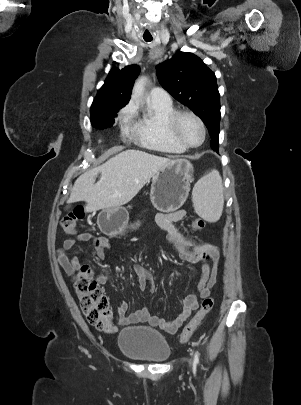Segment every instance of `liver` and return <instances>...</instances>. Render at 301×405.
Segmentation results:
<instances>
[{"label":"liver","instance_id":"liver-1","mask_svg":"<svg viewBox=\"0 0 301 405\" xmlns=\"http://www.w3.org/2000/svg\"><path fill=\"white\" fill-rule=\"evenodd\" d=\"M168 158L140 150H126L88 170L74 183L69 202L85 201L86 212L120 208L167 164ZM100 180L95 183L96 176Z\"/></svg>","mask_w":301,"mask_h":405}]
</instances>
